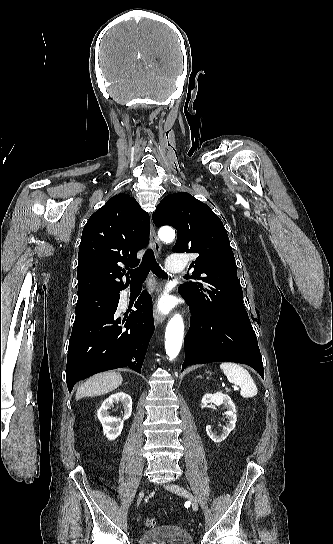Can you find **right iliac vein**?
Here are the masks:
<instances>
[{
	"mask_svg": "<svg viewBox=\"0 0 333 544\" xmlns=\"http://www.w3.org/2000/svg\"><path fill=\"white\" fill-rule=\"evenodd\" d=\"M144 494H145L144 490H142V491L139 493L138 499H137V506L141 503V501H142V499H143V497H144Z\"/></svg>",
	"mask_w": 333,
	"mask_h": 544,
	"instance_id": "obj_1",
	"label": "right iliac vein"
}]
</instances>
